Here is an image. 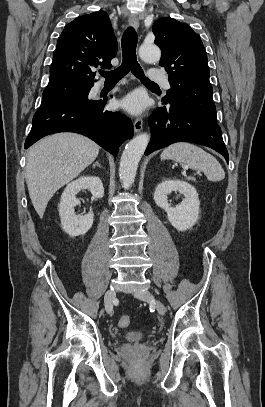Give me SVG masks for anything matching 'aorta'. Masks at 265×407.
<instances>
[{
  "instance_id": "aorta-1",
  "label": "aorta",
  "mask_w": 265,
  "mask_h": 407,
  "mask_svg": "<svg viewBox=\"0 0 265 407\" xmlns=\"http://www.w3.org/2000/svg\"><path fill=\"white\" fill-rule=\"evenodd\" d=\"M139 56L145 62H157L161 57L160 49L154 44L144 43L139 48ZM148 134H140L130 140L122 153L119 175L124 189L134 183L137 167L149 143Z\"/></svg>"
}]
</instances>
